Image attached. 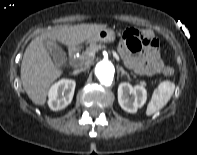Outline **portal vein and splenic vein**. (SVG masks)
I'll return each instance as SVG.
<instances>
[{"instance_id": "1", "label": "portal vein and splenic vein", "mask_w": 197, "mask_h": 155, "mask_svg": "<svg viewBox=\"0 0 197 155\" xmlns=\"http://www.w3.org/2000/svg\"><path fill=\"white\" fill-rule=\"evenodd\" d=\"M111 53H112L113 57H114L117 61H119V60H120V58H119V56L117 55V53H116V52L111 51Z\"/></svg>"}]
</instances>
